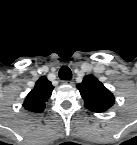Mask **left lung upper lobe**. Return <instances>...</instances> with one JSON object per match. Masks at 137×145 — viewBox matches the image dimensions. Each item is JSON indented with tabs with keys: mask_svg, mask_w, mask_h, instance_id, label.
Instances as JSON below:
<instances>
[{
	"mask_svg": "<svg viewBox=\"0 0 137 145\" xmlns=\"http://www.w3.org/2000/svg\"><path fill=\"white\" fill-rule=\"evenodd\" d=\"M77 88L90 111L105 112L115 102L114 95L93 75L85 76Z\"/></svg>",
	"mask_w": 137,
	"mask_h": 145,
	"instance_id": "left-lung-upper-lobe-1",
	"label": "left lung upper lobe"
}]
</instances>
